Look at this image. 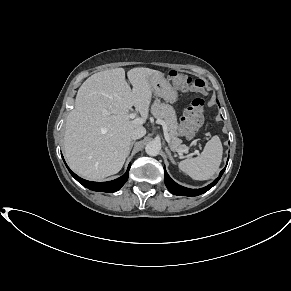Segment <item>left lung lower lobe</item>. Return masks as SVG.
Segmentation results:
<instances>
[{"label":"left lung lower lobe","instance_id":"0a47b994","mask_svg":"<svg viewBox=\"0 0 291 291\" xmlns=\"http://www.w3.org/2000/svg\"><path fill=\"white\" fill-rule=\"evenodd\" d=\"M225 169H226V167L220 172L219 177L217 179H215V181L213 183H211L210 185H208L204 188H201V189H188V188H185V187L177 184L175 181H173L164 168L165 185L168 188V190L175 195L191 196V197L197 196V195L203 194V193L207 192L209 189H211L219 181V179L221 178Z\"/></svg>","mask_w":291,"mask_h":291}]
</instances>
